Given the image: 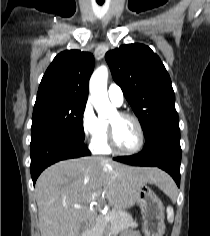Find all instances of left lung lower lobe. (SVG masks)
I'll use <instances>...</instances> for the list:
<instances>
[{"label": "left lung lower lobe", "mask_w": 210, "mask_h": 236, "mask_svg": "<svg viewBox=\"0 0 210 236\" xmlns=\"http://www.w3.org/2000/svg\"><path fill=\"white\" fill-rule=\"evenodd\" d=\"M114 160L134 166L159 167L168 172L180 186V129L179 124L162 125L145 137L143 150L133 156Z\"/></svg>", "instance_id": "left-lung-lower-lobe-1"}]
</instances>
